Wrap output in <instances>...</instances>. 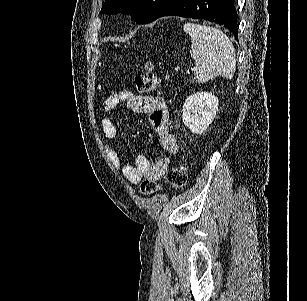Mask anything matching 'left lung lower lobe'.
<instances>
[{
    "mask_svg": "<svg viewBox=\"0 0 307 301\" xmlns=\"http://www.w3.org/2000/svg\"><path fill=\"white\" fill-rule=\"evenodd\" d=\"M171 15L218 23L229 29L235 39H238L234 0H175L159 17Z\"/></svg>",
    "mask_w": 307,
    "mask_h": 301,
    "instance_id": "obj_1",
    "label": "left lung lower lobe"
}]
</instances>
